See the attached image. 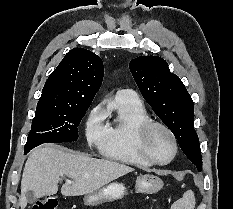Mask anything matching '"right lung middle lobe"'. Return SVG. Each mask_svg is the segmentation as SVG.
<instances>
[{"mask_svg":"<svg viewBox=\"0 0 233 209\" xmlns=\"http://www.w3.org/2000/svg\"><path fill=\"white\" fill-rule=\"evenodd\" d=\"M89 106L90 104L75 106L62 112L36 111L24 153H28L42 143H61L77 140V126H79Z\"/></svg>","mask_w":233,"mask_h":209,"instance_id":"obj_1","label":"right lung middle lobe"}]
</instances>
